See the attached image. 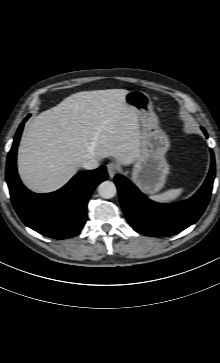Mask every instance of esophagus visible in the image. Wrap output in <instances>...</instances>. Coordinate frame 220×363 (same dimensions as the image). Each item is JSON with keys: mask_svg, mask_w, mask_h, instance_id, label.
Returning a JSON list of instances; mask_svg holds the SVG:
<instances>
[{"mask_svg": "<svg viewBox=\"0 0 220 363\" xmlns=\"http://www.w3.org/2000/svg\"><path fill=\"white\" fill-rule=\"evenodd\" d=\"M119 171V165L115 162H111L107 165V172L110 178H113Z\"/></svg>", "mask_w": 220, "mask_h": 363, "instance_id": "1", "label": "esophagus"}]
</instances>
